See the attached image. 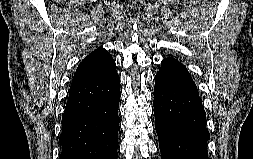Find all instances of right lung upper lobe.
I'll return each instance as SVG.
<instances>
[{"mask_svg":"<svg viewBox=\"0 0 253 159\" xmlns=\"http://www.w3.org/2000/svg\"><path fill=\"white\" fill-rule=\"evenodd\" d=\"M113 62L114 60L107 50L102 47L95 49L79 64L71 85L102 72Z\"/></svg>","mask_w":253,"mask_h":159,"instance_id":"obj_1","label":"right lung upper lobe"}]
</instances>
